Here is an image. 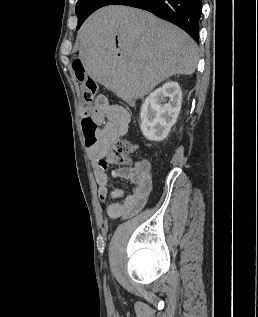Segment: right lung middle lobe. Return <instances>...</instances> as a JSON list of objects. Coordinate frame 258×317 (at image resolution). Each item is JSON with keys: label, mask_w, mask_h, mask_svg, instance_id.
<instances>
[{"label": "right lung middle lobe", "mask_w": 258, "mask_h": 317, "mask_svg": "<svg viewBox=\"0 0 258 317\" xmlns=\"http://www.w3.org/2000/svg\"><path fill=\"white\" fill-rule=\"evenodd\" d=\"M86 2V0H78L76 4V14L79 12L80 8L83 6V4Z\"/></svg>", "instance_id": "1"}]
</instances>
